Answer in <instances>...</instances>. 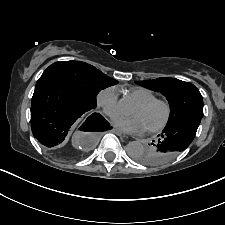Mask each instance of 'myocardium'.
<instances>
[{
    "instance_id": "obj_1",
    "label": "myocardium",
    "mask_w": 225,
    "mask_h": 225,
    "mask_svg": "<svg viewBox=\"0 0 225 225\" xmlns=\"http://www.w3.org/2000/svg\"><path fill=\"white\" fill-rule=\"evenodd\" d=\"M157 104L162 105L164 107L165 116L159 124L148 128V130L150 132H158L167 126V124L169 123L171 116H172L171 104L169 103L168 100L162 99V98H153V99L145 101V102H138V105L143 108H149V107H152Z\"/></svg>"
}]
</instances>
